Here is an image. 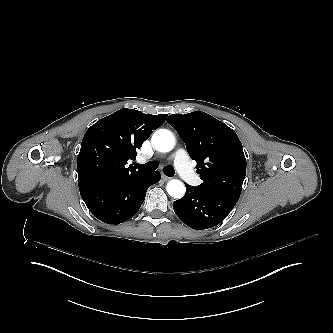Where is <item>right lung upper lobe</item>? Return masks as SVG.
Segmentation results:
<instances>
[{
	"label": "right lung upper lobe",
	"mask_w": 333,
	"mask_h": 333,
	"mask_svg": "<svg viewBox=\"0 0 333 333\" xmlns=\"http://www.w3.org/2000/svg\"><path fill=\"white\" fill-rule=\"evenodd\" d=\"M167 114L151 115L121 109L98 120L85 133L77 159L78 181L95 178L119 179L136 173L127 167L136 159V149L160 127Z\"/></svg>",
	"instance_id": "1"
}]
</instances>
